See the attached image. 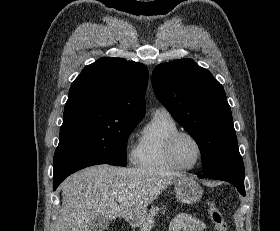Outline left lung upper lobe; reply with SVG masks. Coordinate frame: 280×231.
Returning <instances> with one entry per match:
<instances>
[{
	"instance_id": "obj_1",
	"label": "left lung upper lobe",
	"mask_w": 280,
	"mask_h": 231,
	"mask_svg": "<svg viewBox=\"0 0 280 231\" xmlns=\"http://www.w3.org/2000/svg\"><path fill=\"white\" fill-rule=\"evenodd\" d=\"M152 86L158 100L199 146L203 171L239 154L231 108L223 86L191 59L156 66Z\"/></svg>"
}]
</instances>
